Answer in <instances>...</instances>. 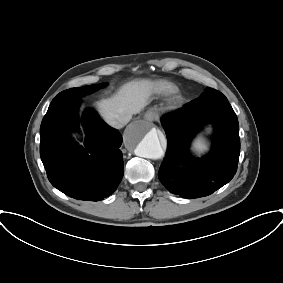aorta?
I'll use <instances>...</instances> for the list:
<instances>
[{
	"label": "aorta",
	"instance_id": "762f6f07",
	"mask_svg": "<svg viewBox=\"0 0 283 283\" xmlns=\"http://www.w3.org/2000/svg\"><path fill=\"white\" fill-rule=\"evenodd\" d=\"M124 143L140 157L157 160L164 156L159 133L148 122L140 121L130 125L125 132Z\"/></svg>",
	"mask_w": 283,
	"mask_h": 283
}]
</instances>
